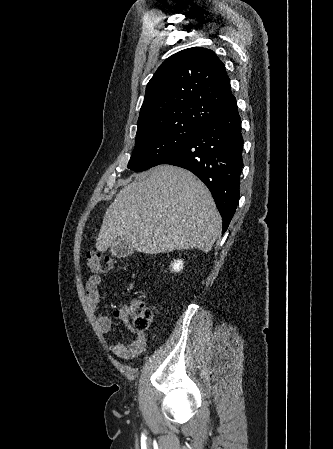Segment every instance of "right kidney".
<instances>
[{
	"instance_id": "right-kidney-1",
	"label": "right kidney",
	"mask_w": 333,
	"mask_h": 449,
	"mask_svg": "<svg viewBox=\"0 0 333 449\" xmlns=\"http://www.w3.org/2000/svg\"><path fill=\"white\" fill-rule=\"evenodd\" d=\"M172 271L174 272H180L183 269V261L180 259L174 260V262L171 264Z\"/></svg>"
}]
</instances>
